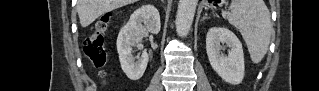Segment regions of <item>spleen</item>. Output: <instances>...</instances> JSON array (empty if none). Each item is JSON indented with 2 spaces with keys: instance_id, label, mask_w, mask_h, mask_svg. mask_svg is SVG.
Returning <instances> with one entry per match:
<instances>
[{
  "instance_id": "3e777b00",
  "label": "spleen",
  "mask_w": 319,
  "mask_h": 91,
  "mask_svg": "<svg viewBox=\"0 0 319 91\" xmlns=\"http://www.w3.org/2000/svg\"><path fill=\"white\" fill-rule=\"evenodd\" d=\"M227 19L241 33L252 62H261L268 51L272 32L271 15L264 1L233 0Z\"/></svg>"
}]
</instances>
